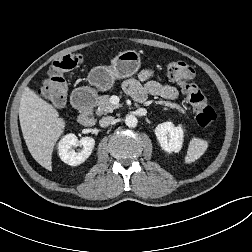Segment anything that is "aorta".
Instances as JSON below:
<instances>
[{"label":"aorta","instance_id":"obj_1","mask_svg":"<svg viewBox=\"0 0 252 252\" xmlns=\"http://www.w3.org/2000/svg\"><path fill=\"white\" fill-rule=\"evenodd\" d=\"M138 123L137 118L134 115H127L125 118V124L128 127H136Z\"/></svg>","mask_w":252,"mask_h":252}]
</instances>
